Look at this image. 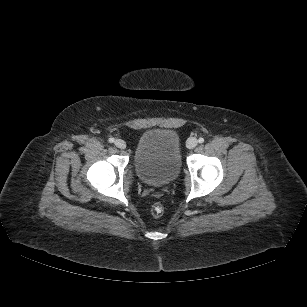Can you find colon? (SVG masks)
I'll return each mask as SVG.
<instances>
[{
	"instance_id": "colon-1",
	"label": "colon",
	"mask_w": 307,
	"mask_h": 307,
	"mask_svg": "<svg viewBox=\"0 0 307 307\" xmlns=\"http://www.w3.org/2000/svg\"><path fill=\"white\" fill-rule=\"evenodd\" d=\"M151 214L154 217H159L163 214V207L160 204H154L151 208Z\"/></svg>"
}]
</instances>
